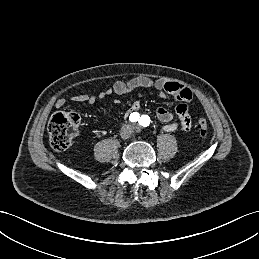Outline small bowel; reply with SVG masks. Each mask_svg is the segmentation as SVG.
I'll list each match as a JSON object with an SVG mask.
<instances>
[{"label":"small bowel","instance_id":"small-bowel-1","mask_svg":"<svg viewBox=\"0 0 259 259\" xmlns=\"http://www.w3.org/2000/svg\"><path fill=\"white\" fill-rule=\"evenodd\" d=\"M154 89L161 93L162 96L170 95L179 103L176 105V115L179 122L174 121L173 114L164 107H159L156 110L157 119L163 124V130L166 132H174L177 129L189 131L192 127L191 117L189 115L187 102L192 98L191 91L178 82L165 80H152L146 77H136L129 81H116L110 88L98 95L79 94L72 98L74 102L88 103L93 105L97 100H102L109 95H125L132 93L138 89ZM65 100L60 98L56 101V107H62ZM140 107L138 100L133 101L128 109V113L137 111Z\"/></svg>","mask_w":259,"mask_h":259}]
</instances>
